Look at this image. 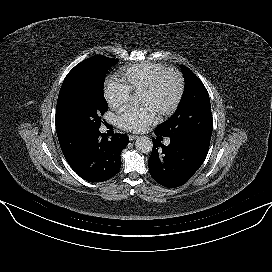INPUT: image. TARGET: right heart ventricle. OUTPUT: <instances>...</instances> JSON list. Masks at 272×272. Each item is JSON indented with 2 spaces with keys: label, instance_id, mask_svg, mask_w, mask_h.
<instances>
[{
  "label": "right heart ventricle",
  "instance_id": "e07e8e85",
  "mask_svg": "<svg viewBox=\"0 0 272 272\" xmlns=\"http://www.w3.org/2000/svg\"><path fill=\"white\" fill-rule=\"evenodd\" d=\"M164 67L163 63L143 60L125 67L120 76L135 92H140Z\"/></svg>",
  "mask_w": 272,
  "mask_h": 272
}]
</instances>
